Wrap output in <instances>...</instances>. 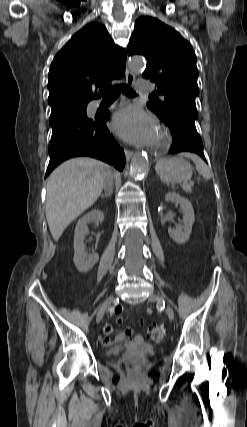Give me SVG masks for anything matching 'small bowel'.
Returning a JSON list of instances; mask_svg holds the SVG:
<instances>
[{
	"instance_id": "obj_1",
	"label": "small bowel",
	"mask_w": 247,
	"mask_h": 427,
	"mask_svg": "<svg viewBox=\"0 0 247 427\" xmlns=\"http://www.w3.org/2000/svg\"><path fill=\"white\" fill-rule=\"evenodd\" d=\"M122 312V307L118 306L115 308L114 313H115V320L117 323H122L123 322V317L121 315ZM146 314L149 316L152 314L151 309H147L146 310ZM103 331L105 334V337L103 338V343L105 345H108L111 343V335L113 333V327L110 323L106 322L103 326ZM115 340L118 342L121 341H128V340H135V341H140L142 340V336L139 334L135 333V329L132 327L127 328L124 332L119 333L118 335H116Z\"/></svg>"
}]
</instances>
